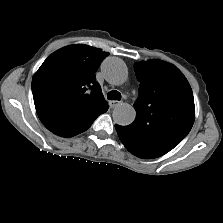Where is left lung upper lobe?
Returning <instances> with one entry per match:
<instances>
[{
    "label": "left lung upper lobe",
    "mask_w": 223,
    "mask_h": 223,
    "mask_svg": "<svg viewBox=\"0 0 223 223\" xmlns=\"http://www.w3.org/2000/svg\"><path fill=\"white\" fill-rule=\"evenodd\" d=\"M140 82L134 103L137 116L129 126H120V136L129 146L159 156L177 146L190 132L195 119L192 89L174 65L160 60L134 64Z\"/></svg>",
    "instance_id": "obj_1"
}]
</instances>
